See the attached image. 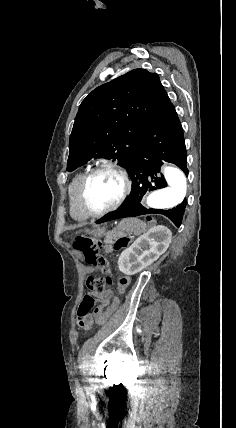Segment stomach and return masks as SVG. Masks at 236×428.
<instances>
[{"label": "stomach", "mask_w": 236, "mask_h": 428, "mask_svg": "<svg viewBox=\"0 0 236 428\" xmlns=\"http://www.w3.org/2000/svg\"><path fill=\"white\" fill-rule=\"evenodd\" d=\"M91 234L92 236H94V238H102V236H104L105 234V228H97V230H91Z\"/></svg>", "instance_id": "1"}]
</instances>
